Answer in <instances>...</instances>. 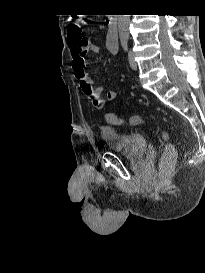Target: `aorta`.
Here are the masks:
<instances>
[{"mask_svg": "<svg viewBox=\"0 0 205 273\" xmlns=\"http://www.w3.org/2000/svg\"><path fill=\"white\" fill-rule=\"evenodd\" d=\"M130 15H118V31L121 41L129 39Z\"/></svg>", "mask_w": 205, "mask_h": 273, "instance_id": "obj_1", "label": "aorta"}]
</instances>
